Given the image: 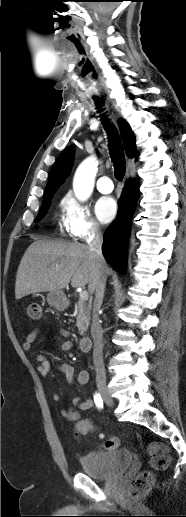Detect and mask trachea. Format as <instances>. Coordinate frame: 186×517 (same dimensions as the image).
Returning <instances> with one entry per match:
<instances>
[{
	"label": "trachea",
	"mask_w": 186,
	"mask_h": 517,
	"mask_svg": "<svg viewBox=\"0 0 186 517\" xmlns=\"http://www.w3.org/2000/svg\"><path fill=\"white\" fill-rule=\"evenodd\" d=\"M95 104L99 112H101V108L103 106V102L100 100V98L95 97ZM102 123L107 130L109 134V147H110V154L112 158V162L114 165V175L116 179L122 180L125 175L126 171V164H125V156L122 144L120 142L117 130L115 127L108 122V119L106 116H103L101 118Z\"/></svg>",
	"instance_id": "1"
}]
</instances>
